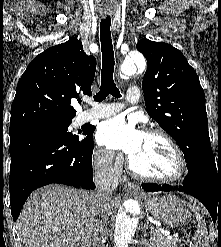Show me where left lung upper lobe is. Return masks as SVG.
Wrapping results in <instances>:
<instances>
[{
	"label": "left lung upper lobe",
	"instance_id": "obj_1",
	"mask_svg": "<svg viewBox=\"0 0 221 247\" xmlns=\"http://www.w3.org/2000/svg\"><path fill=\"white\" fill-rule=\"evenodd\" d=\"M136 47L148 63L142 81L146 110L174 138L187 163L211 147L199 77L170 44L141 39Z\"/></svg>",
	"mask_w": 221,
	"mask_h": 247
}]
</instances>
